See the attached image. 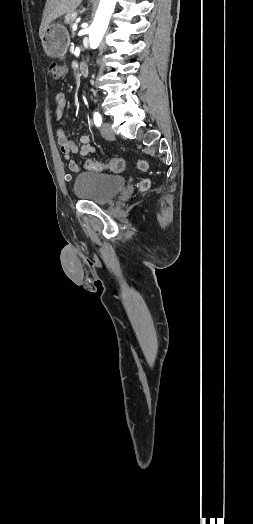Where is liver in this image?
I'll return each mask as SVG.
<instances>
[{
	"label": "liver",
	"instance_id": "liver-1",
	"mask_svg": "<svg viewBox=\"0 0 253 524\" xmlns=\"http://www.w3.org/2000/svg\"><path fill=\"white\" fill-rule=\"evenodd\" d=\"M81 2L82 0H47L39 28L40 39L42 40L46 30L53 20L66 13L73 12Z\"/></svg>",
	"mask_w": 253,
	"mask_h": 524
}]
</instances>
